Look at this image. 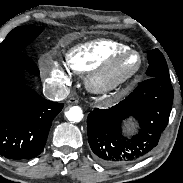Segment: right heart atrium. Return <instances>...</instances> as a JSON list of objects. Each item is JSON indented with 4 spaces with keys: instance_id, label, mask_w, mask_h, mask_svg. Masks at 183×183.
<instances>
[{
    "instance_id": "d8ad5b80",
    "label": "right heart atrium",
    "mask_w": 183,
    "mask_h": 183,
    "mask_svg": "<svg viewBox=\"0 0 183 183\" xmlns=\"http://www.w3.org/2000/svg\"><path fill=\"white\" fill-rule=\"evenodd\" d=\"M47 80L57 86L66 87L69 85V78L63 68L54 63L51 70L48 73Z\"/></svg>"
}]
</instances>
